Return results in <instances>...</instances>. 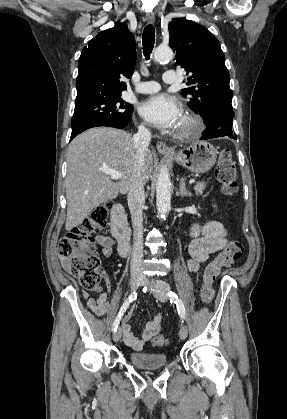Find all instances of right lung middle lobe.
I'll use <instances>...</instances> for the list:
<instances>
[{
  "instance_id": "right-lung-middle-lobe-1",
  "label": "right lung middle lobe",
  "mask_w": 287,
  "mask_h": 419,
  "mask_svg": "<svg viewBox=\"0 0 287 419\" xmlns=\"http://www.w3.org/2000/svg\"><path fill=\"white\" fill-rule=\"evenodd\" d=\"M133 106L120 96L98 100L81 107H75L71 121L72 133L82 127L99 121L129 123Z\"/></svg>"
}]
</instances>
